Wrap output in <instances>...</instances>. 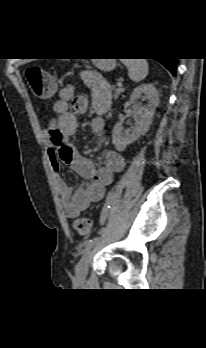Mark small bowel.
Here are the masks:
<instances>
[{
	"mask_svg": "<svg viewBox=\"0 0 206 348\" xmlns=\"http://www.w3.org/2000/svg\"><path fill=\"white\" fill-rule=\"evenodd\" d=\"M80 79L90 90V98L80 94L74 84L61 87L59 99L53 105L56 117L48 122L45 132L49 163L56 176V187L69 219L77 218L92 203L101 201L105 188L112 183L113 175L125 167L124 157L115 150H108L103 157V166L95 169L89 160L76 152L70 142L69 138L78 130L77 116L86 113L90 105L96 114L90 124L91 132L96 136H103L106 124L102 115L111 105V86L102 75L94 71H83ZM61 163L92 180L73 192L60 176Z\"/></svg>",
	"mask_w": 206,
	"mask_h": 348,
	"instance_id": "c3829d8e",
	"label": "small bowel"
}]
</instances>
